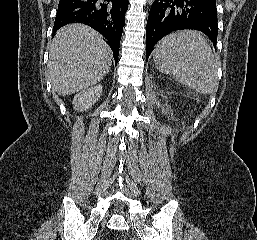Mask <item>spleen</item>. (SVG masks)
Returning a JSON list of instances; mask_svg holds the SVG:
<instances>
[{
	"label": "spleen",
	"instance_id": "1",
	"mask_svg": "<svg viewBox=\"0 0 257 240\" xmlns=\"http://www.w3.org/2000/svg\"><path fill=\"white\" fill-rule=\"evenodd\" d=\"M153 59L159 71L200 94L218 88L217 63L206 39L196 31H178L155 46Z\"/></svg>",
	"mask_w": 257,
	"mask_h": 240
}]
</instances>
